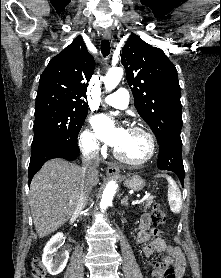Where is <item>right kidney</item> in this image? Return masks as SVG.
I'll return each mask as SVG.
<instances>
[{
	"mask_svg": "<svg viewBox=\"0 0 221 278\" xmlns=\"http://www.w3.org/2000/svg\"><path fill=\"white\" fill-rule=\"evenodd\" d=\"M62 239L63 233H57L47 242L43 250V265L46 267L49 274L54 276L63 271L69 258L68 251H58L62 246Z\"/></svg>",
	"mask_w": 221,
	"mask_h": 278,
	"instance_id": "right-kidney-1",
	"label": "right kidney"
}]
</instances>
